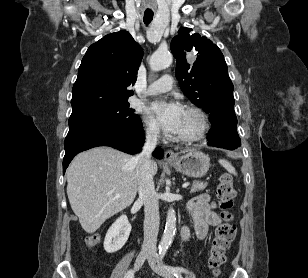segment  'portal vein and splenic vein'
<instances>
[{"instance_id":"portal-vein-and-splenic-vein-1","label":"portal vein and splenic vein","mask_w":308,"mask_h":278,"mask_svg":"<svg viewBox=\"0 0 308 278\" xmlns=\"http://www.w3.org/2000/svg\"><path fill=\"white\" fill-rule=\"evenodd\" d=\"M189 185H190L189 183H184V184L182 185V187H183V188H187ZM119 197H120L119 195L116 196V198H119Z\"/></svg>"}]
</instances>
